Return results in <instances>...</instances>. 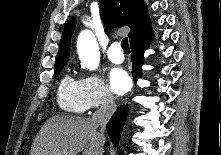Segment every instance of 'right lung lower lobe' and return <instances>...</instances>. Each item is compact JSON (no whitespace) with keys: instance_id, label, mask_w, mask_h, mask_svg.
<instances>
[{"instance_id":"1","label":"right lung lower lobe","mask_w":221,"mask_h":155,"mask_svg":"<svg viewBox=\"0 0 221 155\" xmlns=\"http://www.w3.org/2000/svg\"><path fill=\"white\" fill-rule=\"evenodd\" d=\"M152 39L153 33L151 28L148 27L130 42L132 50L131 59L133 65L132 76L135 82L139 79V77L142 76L141 66L143 64V54L144 51L149 47ZM127 111V105L119 106L106 125L109 137L116 146L118 145L121 136V130L126 119Z\"/></svg>"}]
</instances>
